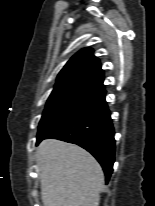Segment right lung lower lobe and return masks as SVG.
<instances>
[{"label": "right lung lower lobe", "instance_id": "1", "mask_svg": "<svg viewBox=\"0 0 155 206\" xmlns=\"http://www.w3.org/2000/svg\"><path fill=\"white\" fill-rule=\"evenodd\" d=\"M55 138L74 143L89 151L101 164L106 182L113 172L115 140L112 119L104 100L78 118L37 139Z\"/></svg>", "mask_w": 155, "mask_h": 206}]
</instances>
